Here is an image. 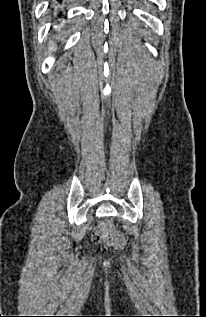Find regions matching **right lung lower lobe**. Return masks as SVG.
<instances>
[{"label":"right lung lower lobe","instance_id":"right-lung-lower-lobe-1","mask_svg":"<svg viewBox=\"0 0 206 317\" xmlns=\"http://www.w3.org/2000/svg\"><path fill=\"white\" fill-rule=\"evenodd\" d=\"M58 3H62V0H56ZM62 13H59L58 15H61Z\"/></svg>","mask_w":206,"mask_h":317}]
</instances>
